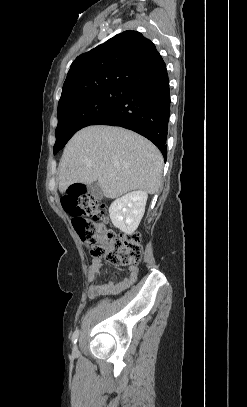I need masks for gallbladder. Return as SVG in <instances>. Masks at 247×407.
Segmentation results:
<instances>
[{
	"mask_svg": "<svg viewBox=\"0 0 247 407\" xmlns=\"http://www.w3.org/2000/svg\"><path fill=\"white\" fill-rule=\"evenodd\" d=\"M88 192L91 196L94 197L96 200H101L103 198L102 189L98 183V181L92 182L87 186Z\"/></svg>",
	"mask_w": 247,
	"mask_h": 407,
	"instance_id": "obj_1",
	"label": "gallbladder"
}]
</instances>
